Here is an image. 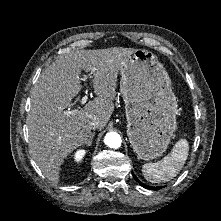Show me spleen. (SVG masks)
Instances as JSON below:
<instances>
[{"instance_id": "1", "label": "spleen", "mask_w": 221, "mask_h": 221, "mask_svg": "<svg viewBox=\"0 0 221 221\" xmlns=\"http://www.w3.org/2000/svg\"><path fill=\"white\" fill-rule=\"evenodd\" d=\"M189 152V144L185 138L175 143L171 152L161 161L146 163L142 166L144 178L151 183L168 182L181 171Z\"/></svg>"}]
</instances>
